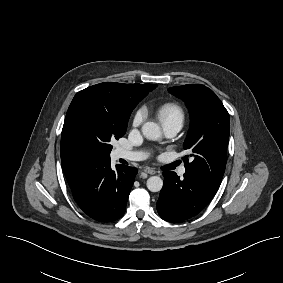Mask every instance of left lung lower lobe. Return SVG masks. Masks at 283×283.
I'll list each match as a JSON object with an SVG mask.
<instances>
[{"instance_id": "left-lung-lower-lobe-1", "label": "left lung lower lobe", "mask_w": 283, "mask_h": 283, "mask_svg": "<svg viewBox=\"0 0 283 283\" xmlns=\"http://www.w3.org/2000/svg\"><path fill=\"white\" fill-rule=\"evenodd\" d=\"M163 176L157 211L167 221L181 222L197 215L217 192L188 172L183 179L175 172H163Z\"/></svg>"}]
</instances>
